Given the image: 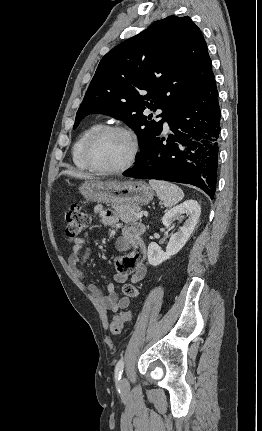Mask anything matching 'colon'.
<instances>
[{"instance_id": "colon-1", "label": "colon", "mask_w": 262, "mask_h": 431, "mask_svg": "<svg viewBox=\"0 0 262 431\" xmlns=\"http://www.w3.org/2000/svg\"><path fill=\"white\" fill-rule=\"evenodd\" d=\"M91 216L89 212L80 206L74 204L66 214L65 233L68 239H75L90 224ZM125 296L137 299L139 297L138 289L132 284L126 283L122 287ZM132 311L122 312L114 317L109 324V331L113 336H119L124 325L131 320Z\"/></svg>"}]
</instances>
